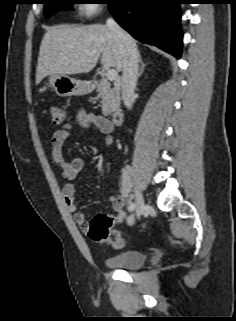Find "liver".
I'll return each instance as SVG.
<instances>
[{
  "mask_svg": "<svg viewBox=\"0 0 236 321\" xmlns=\"http://www.w3.org/2000/svg\"><path fill=\"white\" fill-rule=\"evenodd\" d=\"M100 55L103 66L122 71L124 54L107 25L52 27L41 41L36 84L47 75L90 72Z\"/></svg>",
  "mask_w": 236,
  "mask_h": 321,
  "instance_id": "obj_1",
  "label": "liver"
}]
</instances>
